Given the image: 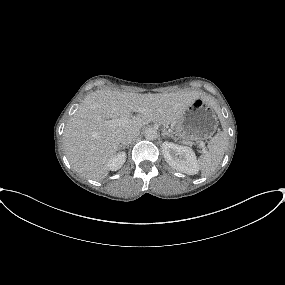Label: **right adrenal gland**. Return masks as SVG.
<instances>
[{
  "label": "right adrenal gland",
  "instance_id": "right-adrenal-gland-1",
  "mask_svg": "<svg viewBox=\"0 0 285 285\" xmlns=\"http://www.w3.org/2000/svg\"><path fill=\"white\" fill-rule=\"evenodd\" d=\"M119 148H121V149L127 148L128 149L129 148V144H127V145H120Z\"/></svg>",
  "mask_w": 285,
  "mask_h": 285
}]
</instances>
